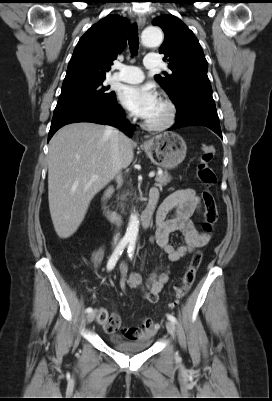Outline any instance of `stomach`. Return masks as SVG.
I'll return each instance as SVG.
<instances>
[{"mask_svg":"<svg viewBox=\"0 0 272 401\" xmlns=\"http://www.w3.org/2000/svg\"><path fill=\"white\" fill-rule=\"evenodd\" d=\"M152 162L164 168H174L186 157L187 146L183 138L175 133L156 135L143 144Z\"/></svg>","mask_w":272,"mask_h":401,"instance_id":"stomach-1","label":"stomach"}]
</instances>
